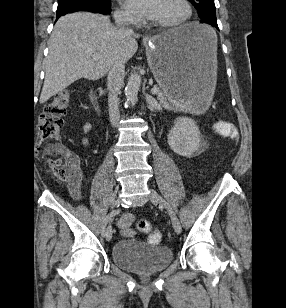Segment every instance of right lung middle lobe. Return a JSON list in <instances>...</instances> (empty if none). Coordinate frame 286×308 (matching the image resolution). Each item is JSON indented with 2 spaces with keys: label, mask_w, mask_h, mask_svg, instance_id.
<instances>
[{
  "label": "right lung middle lobe",
  "mask_w": 286,
  "mask_h": 308,
  "mask_svg": "<svg viewBox=\"0 0 286 308\" xmlns=\"http://www.w3.org/2000/svg\"><path fill=\"white\" fill-rule=\"evenodd\" d=\"M85 6L110 9L111 0H58L57 10Z\"/></svg>",
  "instance_id": "dd1d6c3e"
}]
</instances>
